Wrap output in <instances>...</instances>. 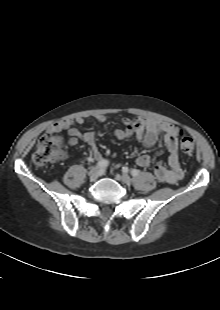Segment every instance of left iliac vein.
I'll use <instances>...</instances> for the list:
<instances>
[{"mask_svg": "<svg viewBox=\"0 0 220 310\" xmlns=\"http://www.w3.org/2000/svg\"><path fill=\"white\" fill-rule=\"evenodd\" d=\"M117 178L125 184L131 183V178L127 174L117 175Z\"/></svg>", "mask_w": 220, "mask_h": 310, "instance_id": "obj_1", "label": "left iliac vein"}]
</instances>
